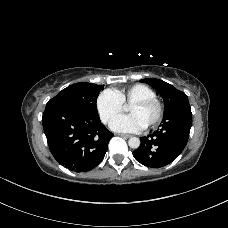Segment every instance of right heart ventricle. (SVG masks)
<instances>
[{
    "instance_id": "e07e8e85",
    "label": "right heart ventricle",
    "mask_w": 228,
    "mask_h": 228,
    "mask_svg": "<svg viewBox=\"0 0 228 228\" xmlns=\"http://www.w3.org/2000/svg\"><path fill=\"white\" fill-rule=\"evenodd\" d=\"M116 93L123 104H131L136 100L156 97V92L145 84H134L128 88L116 90Z\"/></svg>"
}]
</instances>
